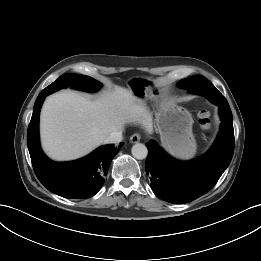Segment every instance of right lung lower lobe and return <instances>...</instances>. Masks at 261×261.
Masks as SVG:
<instances>
[{
  "label": "right lung lower lobe",
  "instance_id": "obj_1",
  "mask_svg": "<svg viewBox=\"0 0 261 261\" xmlns=\"http://www.w3.org/2000/svg\"><path fill=\"white\" fill-rule=\"evenodd\" d=\"M42 90L35 101L27 132V145L34 171L39 181L51 192L65 198H89L94 196L104 183V176L120 146L104 145L85 158L57 163L48 159L39 142V114L45 97L59 89Z\"/></svg>",
  "mask_w": 261,
  "mask_h": 261
}]
</instances>
